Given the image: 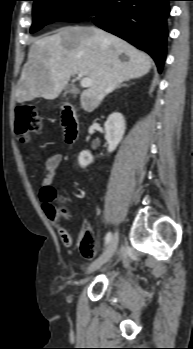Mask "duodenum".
<instances>
[{
  "mask_svg": "<svg viewBox=\"0 0 193 349\" xmlns=\"http://www.w3.org/2000/svg\"><path fill=\"white\" fill-rule=\"evenodd\" d=\"M62 124L66 143L73 144L79 136V121L76 109L71 104H62Z\"/></svg>",
  "mask_w": 193,
  "mask_h": 349,
  "instance_id": "obj_1",
  "label": "duodenum"
}]
</instances>
